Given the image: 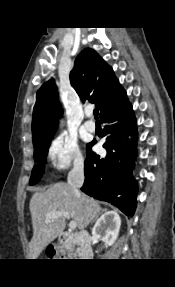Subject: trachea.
Instances as JSON below:
<instances>
[{"label": "trachea", "instance_id": "trachea-1", "mask_svg": "<svg viewBox=\"0 0 175 287\" xmlns=\"http://www.w3.org/2000/svg\"><path fill=\"white\" fill-rule=\"evenodd\" d=\"M93 114H94L95 119L98 120V109H95Z\"/></svg>", "mask_w": 175, "mask_h": 287}]
</instances>
